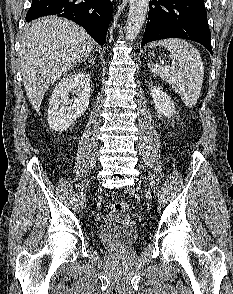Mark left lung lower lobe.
Returning <instances> with one entry per match:
<instances>
[{
  "mask_svg": "<svg viewBox=\"0 0 233 294\" xmlns=\"http://www.w3.org/2000/svg\"><path fill=\"white\" fill-rule=\"evenodd\" d=\"M172 37L196 41L213 55L204 0L150 1L141 47L152 41Z\"/></svg>",
  "mask_w": 233,
  "mask_h": 294,
  "instance_id": "left-lung-lower-lobe-1",
  "label": "left lung lower lobe"
}]
</instances>
